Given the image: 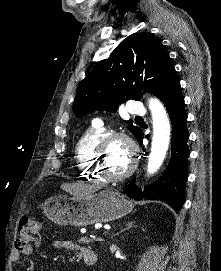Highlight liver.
Here are the masks:
<instances>
[{"mask_svg":"<svg viewBox=\"0 0 221 271\" xmlns=\"http://www.w3.org/2000/svg\"><path fill=\"white\" fill-rule=\"evenodd\" d=\"M70 193H76V195H81V193H90V191H87V187H83L82 191L79 189V191H76V187H71Z\"/></svg>","mask_w":221,"mask_h":271,"instance_id":"liver-1","label":"liver"}]
</instances>
